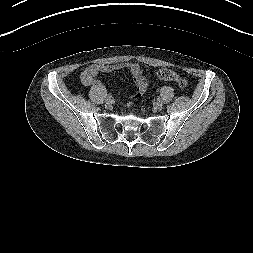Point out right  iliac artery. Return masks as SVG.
<instances>
[{
    "label": "right iliac artery",
    "mask_w": 253,
    "mask_h": 253,
    "mask_svg": "<svg viewBox=\"0 0 253 253\" xmlns=\"http://www.w3.org/2000/svg\"><path fill=\"white\" fill-rule=\"evenodd\" d=\"M111 97H112V96L109 94V95L107 96V99H111Z\"/></svg>",
    "instance_id": "obj_1"
}]
</instances>
